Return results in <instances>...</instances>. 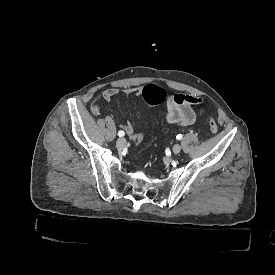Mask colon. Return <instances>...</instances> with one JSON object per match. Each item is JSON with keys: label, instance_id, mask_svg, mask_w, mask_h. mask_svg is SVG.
I'll return each mask as SVG.
<instances>
[{"label": "colon", "instance_id": "5ec220e1", "mask_svg": "<svg viewBox=\"0 0 275 275\" xmlns=\"http://www.w3.org/2000/svg\"><path fill=\"white\" fill-rule=\"evenodd\" d=\"M140 95L142 98L147 100L146 106L151 108L153 104L160 105L163 101L166 100L167 94L163 91L160 87L155 84L149 83L147 84L144 89L141 90ZM210 131L215 134L218 132V125L213 118L209 119L208 122ZM127 129V127H126ZM146 136L144 131H136L134 135L130 137V140L134 142L136 145H139L142 142V138Z\"/></svg>", "mask_w": 275, "mask_h": 275}]
</instances>
